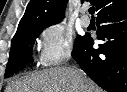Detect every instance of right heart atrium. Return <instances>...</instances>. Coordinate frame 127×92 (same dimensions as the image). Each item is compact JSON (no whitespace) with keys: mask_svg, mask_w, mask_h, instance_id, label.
Listing matches in <instances>:
<instances>
[{"mask_svg":"<svg viewBox=\"0 0 127 92\" xmlns=\"http://www.w3.org/2000/svg\"><path fill=\"white\" fill-rule=\"evenodd\" d=\"M71 33L60 24L45 27L40 34L39 61L50 68L65 62L72 53Z\"/></svg>","mask_w":127,"mask_h":92,"instance_id":"right-heart-atrium-1","label":"right heart atrium"}]
</instances>
